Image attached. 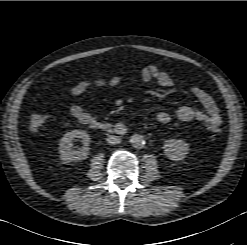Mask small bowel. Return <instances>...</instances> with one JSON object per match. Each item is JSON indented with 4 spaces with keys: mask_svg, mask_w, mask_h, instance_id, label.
I'll list each match as a JSON object with an SVG mask.
<instances>
[{
    "mask_svg": "<svg viewBox=\"0 0 247 245\" xmlns=\"http://www.w3.org/2000/svg\"><path fill=\"white\" fill-rule=\"evenodd\" d=\"M141 79L146 82H154L161 88H170L174 85V81L168 72L161 70L154 64H149L142 67L140 71ZM121 82V76L114 75L107 77V87H115ZM88 89L85 88L83 82L76 84L70 90L72 97H77L85 93ZM191 93L198 100L202 106V110L195 109L191 106L182 105L179 106L175 115L182 121L197 120L199 122L209 124L213 127H219L222 123V118L217 103L214 98L204 89L198 86L191 87ZM69 113L81 124L92 126L97 121V116L86 111L81 105L73 104L69 108ZM156 120L160 124H166L170 122L171 115L165 111L157 113Z\"/></svg>",
    "mask_w": 247,
    "mask_h": 245,
    "instance_id": "1",
    "label": "small bowel"
}]
</instances>
